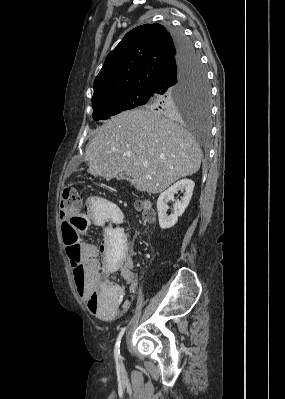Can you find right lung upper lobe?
<instances>
[{"mask_svg": "<svg viewBox=\"0 0 285 399\" xmlns=\"http://www.w3.org/2000/svg\"><path fill=\"white\" fill-rule=\"evenodd\" d=\"M176 54L171 32L164 26L155 23L134 28L107 55L94 81L92 100L131 89H150Z\"/></svg>", "mask_w": 285, "mask_h": 399, "instance_id": "cb5924a9", "label": "right lung upper lobe"}]
</instances>
